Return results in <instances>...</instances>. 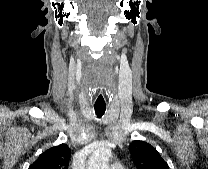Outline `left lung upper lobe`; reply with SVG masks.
<instances>
[{
	"label": "left lung upper lobe",
	"instance_id": "left-lung-upper-lobe-1",
	"mask_svg": "<svg viewBox=\"0 0 208 169\" xmlns=\"http://www.w3.org/2000/svg\"><path fill=\"white\" fill-rule=\"evenodd\" d=\"M129 148L137 169H169L168 164L150 144L135 140Z\"/></svg>",
	"mask_w": 208,
	"mask_h": 169
}]
</instances>
